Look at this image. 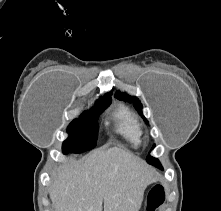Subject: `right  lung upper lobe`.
I'll return each instance as SVG.
<instances>
[{"label": "right lung upper lobe", "mask_w": 221, "mask_h": 211, "mask_svg": "<svg viewBox=\"0 0 221 211\" xmlns=\"http://www.w3.org/2000/svg\"><path fill=\"white\" fill-rule=\"evenodd\" d=\"M110 95H111V92L107 93L104 97H109Z\"/></svg>", "instance_id": "1"}]
</instances>
